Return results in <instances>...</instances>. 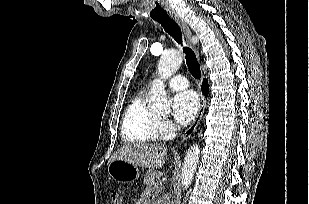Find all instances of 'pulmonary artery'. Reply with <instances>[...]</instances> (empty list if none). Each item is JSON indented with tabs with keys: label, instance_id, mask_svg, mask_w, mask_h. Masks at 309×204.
I'll list each match as a JSON object with an SVG mask.
<instances>
[{
	"label": "pulmonary artery",
	"instance_id": "obj_1",
	"mask_svg": "<svg viewBox=\"0 0 309 204\" xmlns=\"http://www.w3.org/2000/svg\"><path fill=\"white\" fill-rule=\"evenodd\" d=\"M165 84L174 90H183L189 86L188 80L182 76L170 78Z\"/></svg>",
	"mask_w": 309,
	"mask_h": 204
}]
</instances>
